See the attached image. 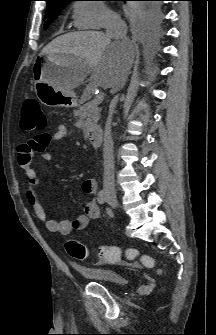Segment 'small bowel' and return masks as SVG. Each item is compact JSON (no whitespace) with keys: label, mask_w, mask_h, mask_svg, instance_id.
<instances>
[{"label":"small bowel","mask_w":216,"mask_h":335,"mask_svg":"<svg viewBox=\"0 0 216 335\" xmlns=\"http://www.w3.org/2000/svg\"><path fill=\"white\" fill-rule=\"evenodd\" d=\"M68 136L69 132L67 127L63 124H59L53 134H48L45 145L65 142ZM33 151L30 143L21 145L18 148V162L24 170L27 179V201L37 218L45 223L47 229L56 234L68 235L72 230H84L91 220L99 219L100 207L94 199L88 201L84 208L85 212L73 220H54L49 218L37 192V187L41 180V173L31 166ZM41 154L44 161L50 162L52 160V156L49 152H42ZM82 191L87 194L95 193L96 181L93 178H86L82 183ZM100 262L102 263L103 260L100 259Z\"/></svg>","instance_id":"obj_1"}]
</instances>
